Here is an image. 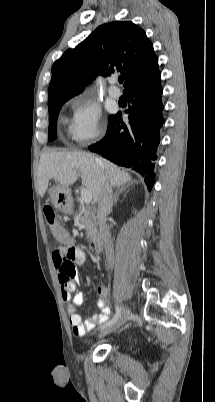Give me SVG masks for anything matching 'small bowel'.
Returning <instances> with one entry per match:
<instances>
[{
	"instance_id": "1",
	"label": "small bowel",
	"mask_w": 215,
	"mask_h": 402,
	"mask_svg": "<svg viewBox=\"0 0 215 402\" xmlns=\"http://www.w3.org/2000/svg\"><path fill=\"white\" fill-rule=\"evenodd\" d=\"M69 243L70 248H65V244L57 248L52 254V259L58 272L61 296L67 305V312L73 333L76 336H83L97 324H104L108 321L111 314V310L106 301L108 289L103 284L97 287V307L100 312L83 321L81 315L78 313V307L83 304L84 295L80 292H76V285L80 282V276L75 265H81L85 262V253L81 247L75 246L73 242ZM68 264L72 266L71 271H65V267Z\"/></svg>"
}]
</instances>
